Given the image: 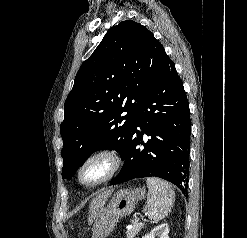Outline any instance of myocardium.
Returning a JSON list of instances; mask_svg holds the SVG:
<instances>
[{"mask_svg":"<svg viewBox=\"0 0 247 238\" xmlns=\"http://www.w3.org/2000/svg\"><path fill=\"white\" fill-rule=\"evenodd\" d=\"M103 160L108 164L107 172L95 181L88 182L84 179L85 169L93 162ZM122 159L119 152L111 147H99L88 153L80 162L76 170V179L78 183L85 188H92L109 181L120 170Z\"/></svg>","mask_w":247,"mask_h":238,"instance_id":"myocardium-1","label":"myocardium"}]
</instances>
